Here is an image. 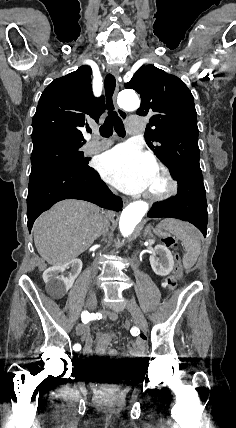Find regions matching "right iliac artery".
Wrapping results in <instances>:
<instances>
[{
  "mask_svg": "<svg viewBox=\"0 0 236 428\" xmlns=\"http://www.w3.org/2000/svg\"><path fill=\"white\" fill-rule=\"evenodd\" d=\"M81 319H82L83 323L87 324L91 320V314L88 311H84L81 314ZM80 349H81L80 344H75L73 346V350H75V351H79Z\"/></svg>",
  "mask_w": 236,
  "mask_h": 428,
  "instance_id": "82829eb1",
  "label": "right iliac artery"
}]
</instances>
